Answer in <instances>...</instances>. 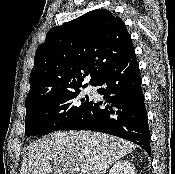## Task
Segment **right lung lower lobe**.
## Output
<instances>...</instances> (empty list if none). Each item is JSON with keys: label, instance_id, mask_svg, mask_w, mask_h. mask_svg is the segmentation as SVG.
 Listing matches in <instances>:
<instances>
[{"label": "right lung lower lobe", "instance_id": "right-lung-lower-lobe-1", "mask_svg": "<svg viewBox=\"0 0 175 174\" xmlns=\"http://www.w3.org/2000/svg\"><path fill=\"white\" fill-rule=\"evenodd\" d=\"M135 52L111 66L94 84L106 100H90L85 110L61 130H92L132 141L149 155V124Z\"/></svg>", "mask_w": 175, "mask_h": 174}]
</instances>
